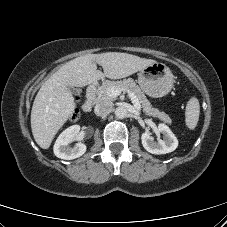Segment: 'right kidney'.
Listing matches in <instances>:
<instances>
[{
	"label": "right kidney",
	"mask_w": 227,
	"mask_h": 227,
	"mask_svg": "<svg viewBox=\"0 0 227 227\" xmlns=\"http://www.w3.org/2000/svg\"><path fill=\"white\" fill-rule=\"evenodd\" d=\"M80 134V126L73 125L65 129L54 144V154L61 159L72 160L82 156L86 152V145L78 142L74 146L70 143L77 140Z\"/></svg>",
	"instance_id": "right-kidney-1"
}]
</instances>
